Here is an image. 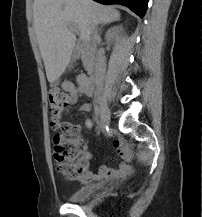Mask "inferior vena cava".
<instances>
[{"label": "inferior vena cava", "mask_w": 202, "mask_h": 217, "mask_svg": "<svg viewBox=\"0 0 202 217\" xmlns=\"http://www.w3.org/2000/svg\"><path fill=\"white\" fill-rule=\"evenodd\" d=\"M92 39L97 41L99 39V30L95 26L92 27ZM105 67H106V60L101 50L97 51V61L95 66V80L97 86H102L104 81L105 75Z\"/></svg>", "instance_id": "obj_1"}]
</instances>
